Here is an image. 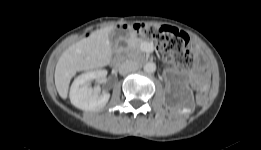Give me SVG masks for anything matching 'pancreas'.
Listing matches in <instances>:
<instances>
[{
	"instance_id": "cf45deb5",
	"label": "pancreas",
	"mask_w": 261,
	"mask_h": 150,
	"mask_svg": "<svg viewBox=\"0 0 261 150\" xmlns=\"http://www.w3.org/2000/svg\"><path fill=\"white\" fill-rule=\"evenodd\" d=\"M143 42H145V41H144V40H141V39H135V40H134L135 47L138 49V50H137V54L140 55V56H142V57H144L145 55H144V53H142V52L139 50V48H140V45H141Z\"/></svg>"
}]
</instances>
